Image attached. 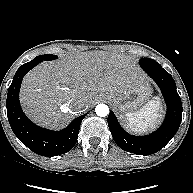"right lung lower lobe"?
Here are the masks:
<instances>
[{"mask_svg": "<svg viewBox=\"0 0 193 193\" xmlns=\"http://www.w3.org/2000/svg\"><path fill=\"white\" fill-rule=\"evenodd\" d=\"M39 61L23 64L16 71L7 93V114L10 126L21 142L30 150L42 156H57L70 151L75 145L83 118L74 119L65 129L51 131L32 123L23 113L19 102V90L24 75Z\"/></svg>", "mask_w": 193, "mask_h": 193, "instance_id": "98d812e1", "label": "right lung lower lobe"}]
</instances>
